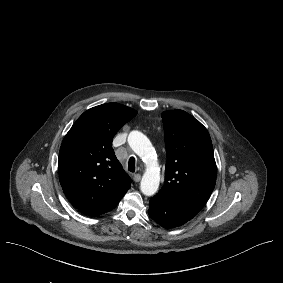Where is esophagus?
Segmentation results:
<instances>
[{
    "label": "esophagus",
    "instance_id": "obj_1",
    "mask_svg": "<svg viewBox=\"0 0 283 283\" xmlns=\"http://www.w3.org/2000/svg\"><path fill=\"white\" fill-rule=\"evenodd\" d=\"M133 181L134 182H140L141 181V175L140 174H135L133 176Z\"/></svg>",
    "mask_w": 283,
    "mask_h": 283
}]
</instances>
